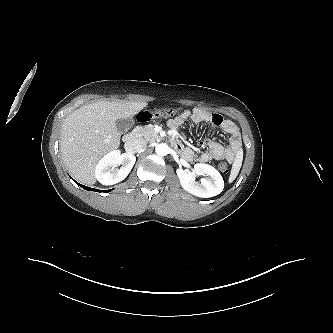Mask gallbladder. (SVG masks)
I'll use <instances>...</instances> for the list:
<instances>
[{
	"mask_svg": "<svg viewBox=\"0 0 333 333\" xmlns=\"http://www.w3.org/2000/svg\"><path fill=\"white\" fill-rule=\"evenodd\" d=\"M134 125L132 118L118 119L116 121V128L120 133H126Z\"/></svg>",
	"mask_w": 333,
	"mask_h": 333,
	"instance_id": "obj_1",
	"label": "gallbladder"
}]
</instances>
